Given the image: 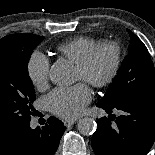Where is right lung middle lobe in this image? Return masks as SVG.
Here are the masks:
<instances>
[{
	"mask_svg": "<svg viewBox=\"0 0 155 155\" xmlns=\"http://www.w3.org/2000/svg\"><path fill=\"white\" fill-rule=\"evenodd\" d=\"M43 39L29 33L0 39V134L30 124L36 95L27 65L33 49Z\"/></svg>",
	"mask_w": 155,
	"mask_h": 155,
	"instance_id": "right-lung-middle-lobe-1",
	"label": "right lung middle lobe"
}]
</instances>
